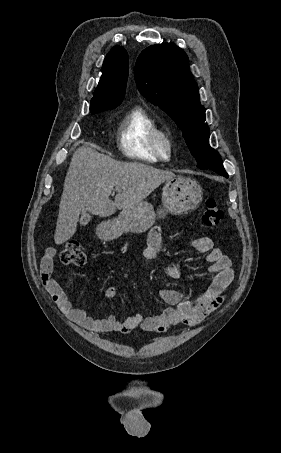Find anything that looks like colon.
<instances>
[{"label":"colon","mask_w":281,"mask_h":453,"mask_svg":"<svg viewBox=\"0 0 281 453\" xmlns=\"http://www.w3.org/2000/svg\"><path fill=\"white\" fill-rule=\"evenodd\" d=\"M204 212L201 218V225L204 228L219 227L225 223L226 217L223 210L219 207L216 199L208 198L203 204ZM88 255L81 248L79 241L69 238L64 244V249L60 254L62 262H85Z\"/></svg>","instance_id":"1"}]
</instances>
